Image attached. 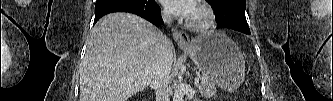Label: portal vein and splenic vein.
Segmentation results:
<instances>
[{
  "instance_id": "18ae733b",
  "label": "portal vein and splenic vein",
  "mask_w": 333,
  "mask_h": 101,
  "mask_svg": "<svg viewBox=\"0 0 333 101\" xmlns=\"http://www.w3.org/2000/svg\"><path fill=\"white\" fill-rule=\"evenodd\" d=\"M194 85H195V87L199 86V77L195 79Z\"/></svg>"
}]
</instances>
